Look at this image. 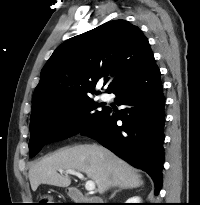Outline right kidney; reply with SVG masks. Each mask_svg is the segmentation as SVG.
Here are the masks:
<instances>
[{
	"instance_id": "obj_1",
	"label": "right kidney",
	"mask_w": 200,
	"mask_h": 205,
	"mask_svg": "<svg viewBox=\"0 0 200 205\" xmlns=\"http://www.w3.org/2000/svg\"><path fill=\"white\" fill-rule=\"evenodd\" d=\"M126 203H141V198L138 196L129 198Z\"/></svg>"
}]
</instances>
